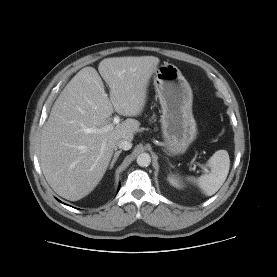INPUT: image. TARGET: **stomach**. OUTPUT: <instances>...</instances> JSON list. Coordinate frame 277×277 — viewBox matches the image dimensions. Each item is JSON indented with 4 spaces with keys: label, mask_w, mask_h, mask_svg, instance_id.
Returning a JSON list of instances; mask_svg holds the SVG:
<instances>
[{
    "label": "stomach",
    "mask_w": 277,
    "mask_h": 277,
    "mask_svg": "<svg viewBox=\"0 0 277 277\" xmlns=\"http://www.w3.org/2000/svg\"><path fill=\"white\" fill-rule=\"evenodd\" d=\"M154 86L160 100L165 149L173 155L183 152L196 138L191 87L175 65L165 62L155 71Z\"/></svg>",
    "instance_id": "stomach-1"
}]
</instances>
